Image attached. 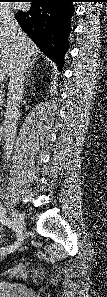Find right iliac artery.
Segmentation results:
<instances>
[{
  "label": "right iliac artery",
  "mask_w": 107,
  "mask_h": 297,
  "mask_svg": "<svg viewBox=\"0 0 107 297\" xmlns=\"http://www.w3.org/2000/svg\"><path fill=\"white\" fill-rule=\"evenodd\" d=\"M5 204H8L7 202H5ZM0 221L2 224L8 226L9 228H11L12 230H14L17 234V237L22 236V232L16 227L14 221H11L7 216H6V209L0 207ZM12 246L9 247H2L0 252L1 254L5 251H9L11 249Z\"/></svg>",
  "instance_id": "1"
}]
</instances>
